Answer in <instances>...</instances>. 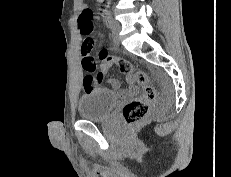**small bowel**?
<instances>
[{
  "label": "small bowel",
  "instance_id": "c3829d8e",
  "mask_svg": "<svg viewBox=\"0 0 231 177\" xmlns=\"http://www.w3.org/2000/svg\"><path fill=\"white\" fill-rule=\"evenodd\" d=\"M98 1L103 2V0H98ZM87 9H88V7L84 3H82L81 13ZM111 66H112V64L110 62L103 61L100 65V71L97 74V78H98L99 84L104 82V81H107L110 83L112 88L118 89L120 87V82L114 78L108 77V72H109V69ZM126 81L132 87V89H134L135 81H134L133 77L127 75Z\"/></svg>",
  "mask_w": 231,
  "mask_h": 177
}]
</instances>
